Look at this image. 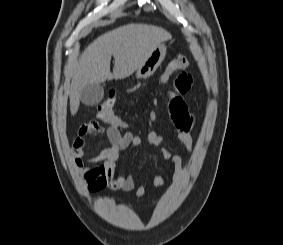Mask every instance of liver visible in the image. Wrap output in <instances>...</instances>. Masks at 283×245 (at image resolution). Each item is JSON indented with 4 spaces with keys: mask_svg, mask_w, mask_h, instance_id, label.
Segmentation results:
<instances>
[{
    "mask_svg": "<svg viewBox=\"0 0 283 245\" xmlns=\"http://www.w3.org/2000/svg\"><path fill=\"white\" fill-rule=\"evenodd\" d=\"M171 38L163 28L146 24H129L95 39L82 53L71 74L68 89L70 111L74 115L80 104V92L87 84H100L113 78L130 76L152 51ZM111 56L115 59L110 71Z\"/></svg>",
    "mask_w": 283,
    "mask_h": 245,
    "instance_id": "liver-1",
    "label": "liver"
}]
</instances>
